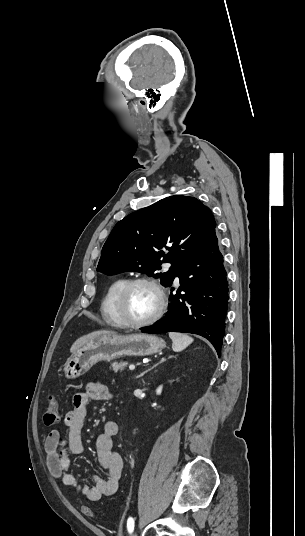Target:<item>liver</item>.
I'll return each instance as SVG.
<instances>
[{"instance_id": "obj_1", "label": "liver", "mask_w": 305, "mask_h": 536, "mask_svg": "<svg viewBox=\"0 0 305 536\" xmlns=\"http://www.w3.org/2000/svg\"><path fill=\"white\" fill-rule=\"evenodd\" d=\"M104 334H114V332H106V330H99V332H91V334H87V336H82V338H79V340H76L73 346H71L70 348L71 354H74L75 350H79V348H82V346H85V344H88L90 340H94V338H98V336H104Z\"/></svg>"}]
</instances>
